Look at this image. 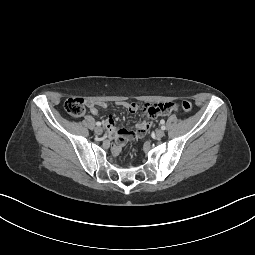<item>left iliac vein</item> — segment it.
Returning a JSON list of instances; mask_svg holds the SVG:
<instances>
[{
  "label": "left iliac vein",
  "instance_id": "left-iliac-vein-1",
  "mask_svg": "<svg viewBox=\"0 0 255 255\" xmlns=\"http://www.w3.org/2000/svg\"><path fill=\"white\" fill-rule=\"evenodd\" d=\"M164 135H165V132H164L163 130L158 129V130L156 131V137H157V138H162Z\"/></svg>",
  "mask_w": 255,
  "mask_h": 255
}]
</instances>
